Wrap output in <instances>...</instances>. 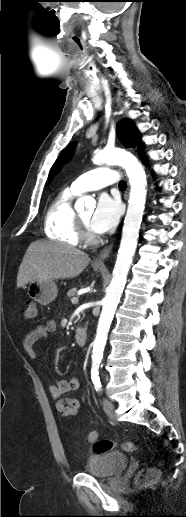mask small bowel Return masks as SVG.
I'll list each match as a JSON object with an SVG mask.
<instances>
[{
	"mask_svg": "<svg viewBox=\"0 0 186 517\" xmlns=\"http://www.w3.org/2000/svg\"><path fill=\"white\" fill-rule=\"evenodd\" d=\"M56 322L54 320H48L44 324L36 326L34 329L29 331L24 339L23 347L27 355L31 359H36V345L44 340L48 335L55 333ZM80 387V380L76 377H72L69 380L55 378L49 384V391L51 396L55 400V406L60 416L69 417L74 416L78 413L81 403L74 397L65 396L66 393L77 390ZM97 439L98 433L92 431ZM87 442H89L87 435Z\"/></svg>",
	"mask_w": 186,
	"mask_h": 517,
	"instance_id": "c3829d8e",
	"label": "small bowel"
}]
</instances>
